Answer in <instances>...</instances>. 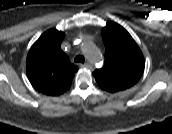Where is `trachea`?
Here are the masks:
<instances>
[{
	"mask_svg": "<svg viewBox=\"0 0 172 134\" xmlns=\"http://www.w3.org/2000/svg\"><path fill=\"white\" fill-rule=\"evenodd\" d=\"M75 62L77 63H84L85 62V58L82 55H77L74 59Z\"/></svg>",
	"mask_w": 172,
	"mask_h": 134,
	"instance_id": "1",
	"label": "trachea"
}]
</instances>
